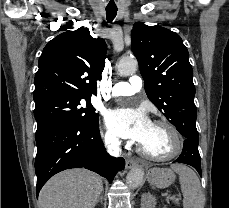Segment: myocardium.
Listing matches in <instances>:
<instances>
[{
  "mask_svg": "<svg viewBox=\"0 0 229 208\" xmlns=\"http://www.w3.org/2000/svg\"><path fill=\"white\" fill-rule=\"evenodd\" d=\"M152 124L165 126L171 129L167 131V134L170 135V146L178 147V149L172 154L165 155L164 157H153V153L148 152V150L140 143V150L142 151V153L150 160L157 162H165L177 158L182 153L186 145V139L184 137V134L177 126L167 120H155Z\"/></svg>",
  "mask_w": 229,
  "mask_h": 208,
  "instance_id": "myocardium-1",
  "label": "myocardium"
}]
</instances>
